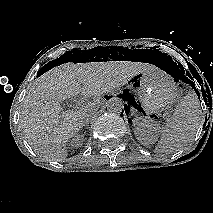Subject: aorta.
I'll return each instance as SVG.
<instances>
[{"mask_svg": "<svg viewBox=\"0 0 213 213\" xmlns=\"http://www.w3.org/2000/svg\"><path fill=\"white\" fill-rule=\"evenodd\" d=\"M107 110L111 113L120 114L124 108L123 101L118 97H112L106 102Z\"/></svg>", "mask_w": 213, "mask_h": 213, "instance_id": "1", "label": "aorta"}]
</instances>
